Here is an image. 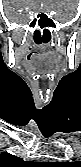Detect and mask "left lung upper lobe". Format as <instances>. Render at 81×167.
Listing matches in <instances>:
<instances>
[{
    "label": "left lung upper lobe",
    "mask_w": 81,
    "mask_h": 167,
    "mask_svg": "<svg viewBox=\"0 0 81 167\" xmlns=\"http://www.w3.org/2000/svg\"><path fill=\"white\" fill-rule=\"evenodd\" d=\"M57 166L67 167V166H69V162L60 163V165H57Z\"/></svg>",
    "instance_id": "left-lung-upper-lobe-1"
}]
</instances>
